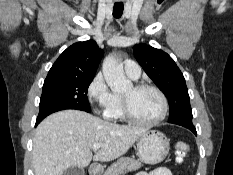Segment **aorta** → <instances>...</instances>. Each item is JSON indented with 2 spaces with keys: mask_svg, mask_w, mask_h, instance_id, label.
I'll return each mask as SVG.
<instances>
[{
  "mask_svg": "<svg viewBox=\"0 0 233 175\" xmlns=\"http://www.w3.org/2000/svg\"><path fill=\"white\" fill-rule=\"evenodd\" d=\"M104 78L114 93L124 92L132 86L124 74L122 65L114 55H108L102 65Z\"/></svg>",
  "mask_w": 233,
  "mask_h": 175,
  "instance_id": "aorta-1",
  "label": "aorta"
}]
</instances>
